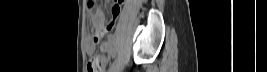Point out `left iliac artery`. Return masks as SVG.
I'll return each instance as SVG.
<instances>
[{"instance_id": "44dca946", "label": "left iliac artery", "mask_w": 267, "mask_h": 72, "mask_svg": "<svg viewBox=\"0 0 267 72\" xmlns=\"http://www.w3.org/2000/svg\"><path fill=\"white\" fill-rule=\"evenodd\" d=\"M115 65H116V62H114V63L111 65L110 69H113V68L115 67Z\"/></svg>"}]
</instances>
